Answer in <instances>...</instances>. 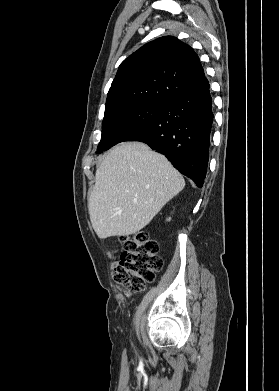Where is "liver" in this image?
<instances>
[{"instance_id": "obj_1", "label": "liver", "mask_w": 279, "mask_h": 391, "mask_svg": "<svg viewBox=\"0 0 279 391\" xmlns=\"http://www.w3.org/2000/svg\"><path fill=\"white\" fill-rule=\"evenodd\" d=\"M185 186L165 156L141 142L113 148L96 170L88 208L97 236L134 234Z\"/></svg>"}]
</instances>
